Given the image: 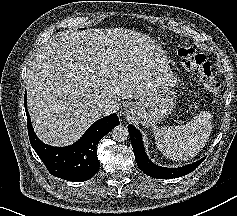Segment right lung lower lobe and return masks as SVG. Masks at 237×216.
<instances>
[{"instance_id": "1", "label": "right lung lower lobe", "mask_w": 237, "mask_h": 216, "mask_svg": "<svg viewBox=\"0 0 237 216\" xmlns=\"http://www.w3.org/2000/svg\"><path fill=\"white\" fill-rule=\"evenodd\" d=\"M24 107L30 143L52 175L68 181L82 182L97 173L100 166L97 159V146L107 133L119 125L116 113L93 123L86 133L71 146L60 148L42 143L34 133L27 111L26 94Z\"/></svg>"}]
</instances>
